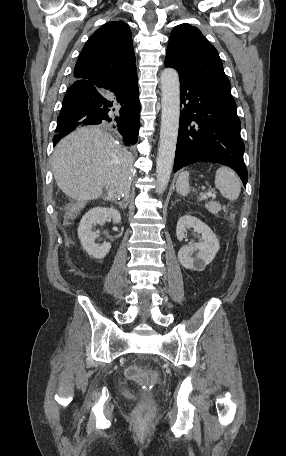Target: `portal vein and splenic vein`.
<instances>
[{
	"label": "portal vein and splenic vein",
	"instance_id": "18ae733b",
	"mask_svg": "<svg viewBox=\"0 0 286 456\" xmlns=\"http://www.w3.org/2000/svg\"><path fill=\"white\" fill-rule=\"evenodd\" d=\"M109 195L111 196V193H110V192H109ZM206 196H207V197H212V198H215V197H216V195H215L214 193H211V192H207V193L205 194L204 197H206Z\"/></svg>",
	"mask_w": 286,
	"mask_h": 456
}]
</instances>
